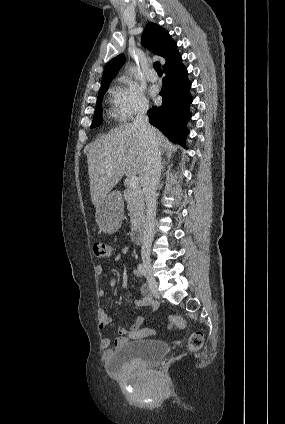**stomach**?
<instances>
[{"label": "stomach", "mask_w": 285, "mask_h": 424, "mask_svg": "<svg viewBox=\"0 0 285 424\" xmlns=\"http://www.w3.org/2000/svg\"><path fill=\"white\" fill-rule=\"evenodd\" d=\"M123 213L122 198L115 193H111L96 207V222L102 231L107 233L115 232L121 225Z\"/></svg>", "instance_id": "0dacf381"}]
</instances>
